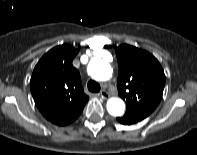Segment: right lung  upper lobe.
<instances>
[{"mask_svg": "<svg viewBox=\"0 0 197 155\" xmlns=\"http://www.w3.org/2000/svg\"><path fill=\"white\" fill-rule=\"evenodd\" d=\"M77 53L68 44L51 49L35 66L30 81L38 109L59 126L75 121L89 99L83 91L80 74L72 65Z\"/></svg>", "mask_w": 197, "mask_h": 155, "instance_id": "right-lung-upper-lobe-1", "label": "right lung upper lobe"}]
</instances>
